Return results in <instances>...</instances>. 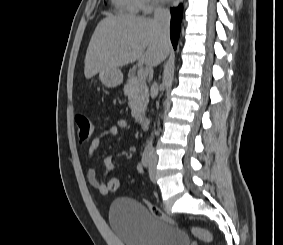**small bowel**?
I'll list each match as a JSON object with an SVG mask.
<instances>
[{"label": "small bowel", "mask_w": 283, "mask_h": 245, "mask_svg": "<svg viewBox=\"0 0 283 245\" xmlns=\"http://www.w3.org/2000/svg\"><path fill=\"white\" fill-rule=\"evenodd\" d=\"M131 129L132 126L126 119H119L117 120L115 125H111L100 131L90 143L87 153L86 177L88 182L94 188H96L101 195H106L109 193L107 190V183L105 181V178L107 177L108 174H110L114 170V163L109 155L104 158L105 172H104V177L100 178L96 170L91 165L93 156L97 151V149L101 146V144L105 140L115 137L118 134L119 130H131ZM136 171L138 173L143 172V166L141 163H138L136 165Z\"/></svg>", "instance_id": "1"}]
</instances>
